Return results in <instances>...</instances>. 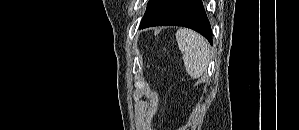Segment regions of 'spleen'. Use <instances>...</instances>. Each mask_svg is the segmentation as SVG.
I'll return each mask as SVG.
<instances>
[{
    "mask_svg": "<svg viewBox=\"0 0 299 130\" xmlns=\"http://www.w3.org/2000/svg\"><path fill=\"white\" fill-rule=\"evenodd\" d=\"M176 40L188 75L193 79L203 77L210 60V47L206 40L186 28H180L176 32Z\"/></svg>",
    "mask_w": 299,
    "mask_h": 130,
    "instance_id": "3e777b00",
    "label": "spleen"
}]
</instances>
